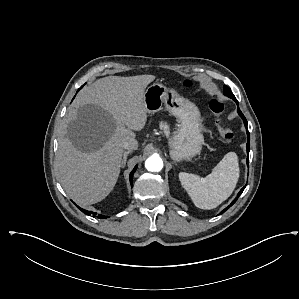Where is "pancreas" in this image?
Segmentation results:
<instances>
[{
    "instance_id": "pancreas-1",
    "label": "pancreas",
    "mask_w": 299,
    "mask_h": 299,
    "mask_svg": "<svg viewBox=\"0 0 299 299\" xmlns=\"http://www.w3.org/2000/svg\"><path fill=\"white\" fill-rule=\"evenodd\" d=\"M160 128L164 130L166 136L169 135V126L166 123H161Z\"/></svg>"
}]
</instances>
